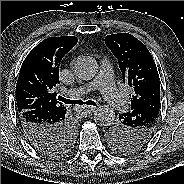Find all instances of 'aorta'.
Returning a JSON list of instances; mask_svg holds the SVG:
<instances>
[{
	"instance_id": "762f6f07",
	"label": "aorta",
	"mask_w": 184,
	"mask_h": 184,
	"mask_svg": "<svg viewBox=\"0 0 184 184\" xmlns=\"http://www.w3.org/2000/svg\"><path fill=\"white\" fill-rule=\"evenodd\" d=\"M97 71L98 64L90 56L78 57L74 64V73L81 80L89 81L93 79ZM114 119L115 111L108 105L99 106L94 112V121L100 127L110 126Z\"/></svg>"
}]
</instances>
